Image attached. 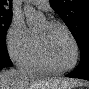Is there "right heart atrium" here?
Returning <instances> with one entry per match:
<instances>
[{
    "instance_id": "1",
    "label": "right heart atrium",
    "mask_w": 89,
    "mask_h": 89,
    "mask_svg": "<svg viewBox=\"0 0 89 89\" xmlns=\"http://www.w3.org/2000/svg\"><path fill=\"white\" fill-rule=\"evenodd\" d=\"M36 46L34 34L18 16L13 17L6 36V48L9 56L21 63Z\"/></svg>"
}]
</instances>
